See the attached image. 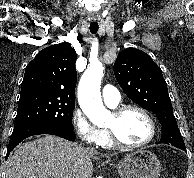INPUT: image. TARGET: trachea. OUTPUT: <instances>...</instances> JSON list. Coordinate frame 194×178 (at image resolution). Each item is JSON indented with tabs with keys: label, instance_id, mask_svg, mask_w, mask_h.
<instances>
[{
	"label": "trachea",
	"instance_id": "1",
	"mask_svg": "<svg viewBox=\"0 0 194 178\" xmlns=\"http://www.w3.org/2000/svg\"><path fill=\"white\" fill-rule=\"evenodd\" d=\"M98 28H99L98 23H91L90 24V32L92 34H95L98 31Z\"/></svg>",
	"mask_w": 194,
	"mask_h": 178
}]
</instances>
